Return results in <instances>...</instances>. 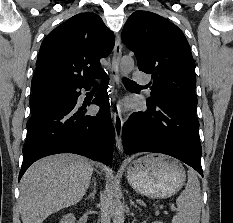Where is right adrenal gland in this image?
Here are the masks:
<instances>
[{"label":"right adrenal gland","mask_w":233,"mask_h":223,"mask_svg":"<svg viewBox=\"0 0 233 223\" xmlns=\"http://www.w3.org/2000/svg\"><path fill=\"white\" fill-rule=\"evenodd\" d=\"M94 181V179H92ZM96 195V189H95V183H92V191L89 193L88 197L86 199H91V201H94Z\"/></svg>","instance_id":"1"}]
</instances>
